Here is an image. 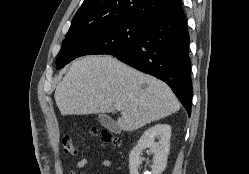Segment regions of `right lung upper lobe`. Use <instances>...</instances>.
I'll list each match as a JSON object with an SVG mask.
<instances>
[{
  "instance_id": "right-lung-upper-lobe-1",
  "label": "right lung upper lobe",
  "mask_w": 249,
  "mask_h": 174,
  "mask_svg": "<svg viewBox=\"0 0 249 174\" xmlns=\"http://www.w3.org/2000/svg\"><path fill=\"white\" fill-rule=\"evenodd\" d=\"M182 11L181 0H84L69 31L106 23L150 18Z\"/></svg>"
}]
</instances>
